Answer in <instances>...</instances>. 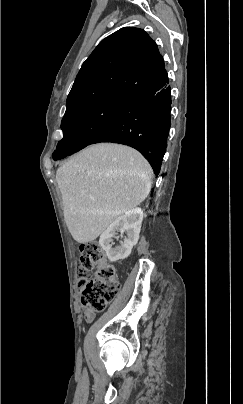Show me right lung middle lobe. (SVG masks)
I'll use <instances>...</instances> for the list:
<instances>
[{
    "label": "right lung middle lobe",
    "instance_id": "1",
    "mask_svg": "<svg viewBox=\"0 0 243 404\" xmlns=\"http://www.w3.org/2000/svg\"><path fill=\"white\" fill-rule=\"evenodd\" d=\"M124 99H102L80 105L65 112L61 129L63 139L53 159H63L90 145L95 136L125 104Z\"/></svg>",
    "mask_w": 243,
    "mask_h": 404
}]
</instances>
